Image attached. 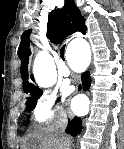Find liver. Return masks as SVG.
Instances as JSON below:
<instances>
[{"instance_id": "obj_1", "label": "liver", "mask_w": 124, "mask_h": 149, "mask_svg": "<svg viewBox=\"0 0 124 149\" xmlns=\"http://www.w3.org/2000/svg\"><path fill=\"white\" fill-rule=\"evenodd\" d=\"M69 143V139L59 135L53 127L41 128L31 134L25 139L22 149H29L37 145L38 149H64Z\"/></svg>"}]
</instances>
